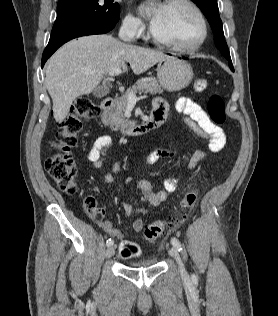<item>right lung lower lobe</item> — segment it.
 Instances as JSON below:
<instances>
[{
  "label": "right lung lower lobe",
  "mask_w": 278,
  "mask_h": 316,
  "mask_svg": "<svg viewBox=\"0 0 278 316\" xmlns=\"http://www.w3.org/2000/svg\"><path fill=\"white\" fill-rule=\"evenodd\" d=\"M116 23L111 22H96L76 26L51 35L49 43L45 48L42 56L41 66L43 68L47 59L64 43L80 36L103 34L109 32L114 28Z\"/></svg>",
  "instance_id": "1"
}]
</instances>
